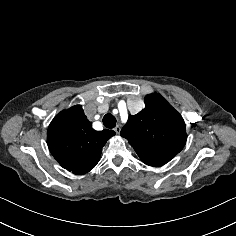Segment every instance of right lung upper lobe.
I'll return each instance as SVG.
<instances>
[{"instance_id": "obj_1", "label": "right lung upper lobe", "mask_w": 236, "mask_h": 236, "mask_svg": "<svg viewBox=\"0 0 236 236\" xmlns=\"http://www.w3.org/2000/svg\"><path fill=\"white\" fill-rule=\"evenodd\" d=\"M115 135L113 130L95 131L82 106L60 112L50 123L47 143L59 164L75 174H84L98 163L102 147Z\"/></svg>"}]
</instances>
